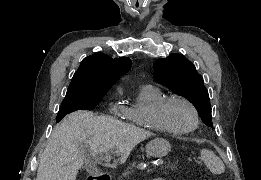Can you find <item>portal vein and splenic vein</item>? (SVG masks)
I'll return each mask as SVG.
<instances>
[{
  "mask_svg": "<svg viewBox=\"0 0 261 180\" xmlns=\"http://www.w3.org/2000/svg\"><path fill=\"white\" fill-rule=\"evenodd\" d=\"M110 152H114V150H110ZM160 166H163V163H160ZM155 169H158V166H154V169H152V172H155ZM145 175H151V170H145Z\"/></svg>",
  "mask_w": 261,
  "mask_h": 180,
  "instance_id": "obj_1",
  "label": "portal vein and splenic vein"
}]
</instances>
